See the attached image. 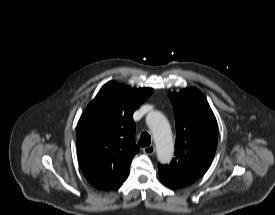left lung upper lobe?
Instances as JSON below:
<instances>
[{"label": "left lung upper lobe", "instance_id": "obj_1", "mask_svg": "<svg viewBox=\"0 0 275 215\" xmlns=\"http://www.w3.org/2000/svg\"><path fill=\"white\" fill-rule=\"evenodd\" d=\"M176 120L175 158L169 165H158V171L172 180L191 184L209 168L218 140L215 116L196 88L169 93Z\"/></svg>", "mask_w": 275, "mask_h": 215}]
</instances>
